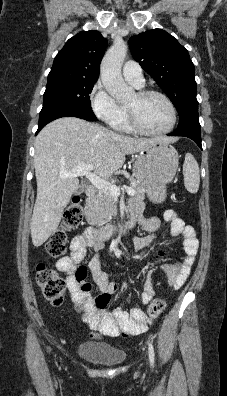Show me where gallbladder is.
Segmentation results:
<instances>
[{
  "mask_svg": "<svg viewBox=\"0 0 227 396\" xmlns=\"http://www.w3.org/2000/svg\"><path fill=\"white\" fill-rule=\"evenodd\" d=\"M81 192H83V186H79L75 191V194H80Z\"/></svg>",
  "mask_w": 227,
  "mask_h": 396,
  "instance_id": "obj_1",
  "label": "gallbladder"
}]
</instances>
